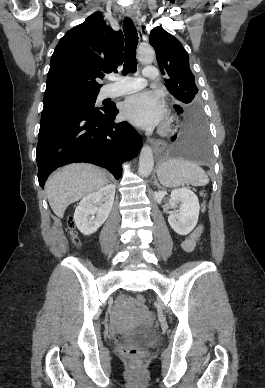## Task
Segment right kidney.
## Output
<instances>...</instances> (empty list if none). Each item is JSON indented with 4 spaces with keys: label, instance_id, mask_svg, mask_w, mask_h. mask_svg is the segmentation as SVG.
I'll use <instances>...</instances> for the list:
<instances>
[{
    "label": "right kidney",
    "instance_id": "obj_1",
    "mask_svg": "<svg viewBox=\"0 0 265 388\" xmlns=\"http://www.w3.org/2000/svg\"><path fill=\"white\" fill-rule=\"evenodd\" d=\"M115 188L114 184H109L98 192L88 194L79 202L75 210L74 222L81 234L84 236L94 234L107 220L114 204Z\"/></svg>",
    "mask_w": 265,
    "mask_h": 388
}]
</instances>
